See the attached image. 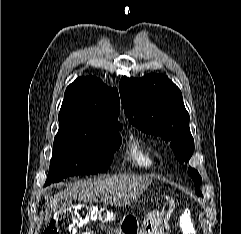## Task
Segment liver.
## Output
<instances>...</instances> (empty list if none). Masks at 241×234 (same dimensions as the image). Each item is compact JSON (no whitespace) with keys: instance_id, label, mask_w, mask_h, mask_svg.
I'll use <instances>...</instances> for the list:
<instances>
[{"instance_id":"liver-1","label":"liver","mask_w":241,"mask_h":234,"mask_svg":"<svg viewBox=\"0 0 241 234\" xmlns=\"http://www.w3.org/2000/svg\"><path fill=\"white\" fill-rule=\"evenodd\" d=\"M152 183L146 176L133 174L114 175L97 180L79 181L52 195H46L45 223L52 213L69 207L72 200L94 203L101 195L106 205L126 206L135 201Z\"/></svg>"}]
</instances>
